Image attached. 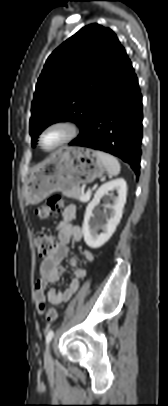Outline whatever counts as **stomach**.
<instances>
[{"label": "stomach", "mask_w": 168, "mask_h": 406, "mask_svg": "<svg viewBox=\"0 0 168 406\" xmlns=\"http://www.w3.org/2000/svg\"><path fill=\"white\" fill-rule=\"evenodd\" d=\"M106 168L96 151L84 147H63L54 152L26 181L24 197L38 204L51 193L70 191L82 183H91Z\"/></svg>", "instance_id": "1"}]
</instances>
